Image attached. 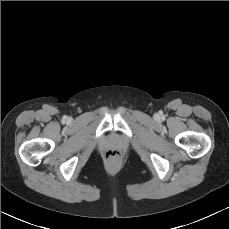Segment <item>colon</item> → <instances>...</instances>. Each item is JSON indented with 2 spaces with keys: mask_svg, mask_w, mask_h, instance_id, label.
<instances>
[{
  "mask_svg": "<svg viewBox=\"0 0 229 229\" xmlns=\"http://www.w3.org/2000/svg\"><path fill=\"white\" fill-rule=\"evenodd\" d=\"M121 158H122V155L117 150H109L106 153V159L110 163H117V162H119L121 160Z\"/></svg>",
  "mask_w": 229,
  "mask_h": 229,
  "instance_id": "1",
  "label": "colon"
}]
</instances>
